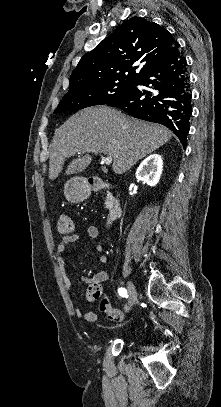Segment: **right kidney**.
Here are the masks:
<instances>
[{"label":"right kidney","instance_id":"1","mask_svg":"<svg viewBox=\"0 0 221 407\" xmlns=\"http://www.w3.org/2000/svg\"><path fill=\"white\" fill-rule=\"evenodd\" d=\"M163 160L161 155L152 154L142 161L136 171V178L149 186H155L162 174Z\"/></svg>","mask_w":221,"mask_h":407}]
</instances>
